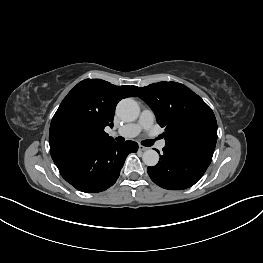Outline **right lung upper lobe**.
I'll return each mask as SVG.
<instances>
[{"label":"right lung upper lobe","mask_w":263,"mask_h":263,"mask_svg":"<svg viewBox=\"0 0 263 263\" xmlns=\"http://www.w3.org/2000/svg\"><path fill=\"white\" fill-rule=\"evenodd\" d=\"M133 86H115L100 79L79 82L63 99L50 125L53 160L113 140L104 131L113 127L117 103L136 96Z\"/></svg>","instance_id":"obj_1"}]
</instances>
